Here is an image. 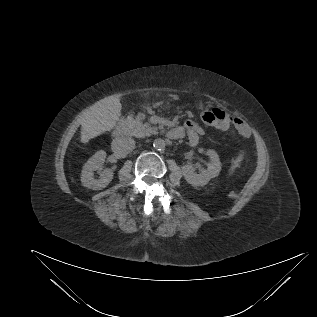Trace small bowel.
Instances as JSON below:
<instances>
[{"label":"small bowel","instance_id":"1","mask_svg":"<svg viewBox=\"0 0 317 317\" xmlns=\"http://www.w3.org/2000/svg\"><path fill=\"white\" fill-rule=\"evenodd\" d=\"M223 113L224 119L223 123L219 125L220 129H226L233 125L242 136L247 137L250 135V128L242 118L238 116L230 117L224 111ZM171 131H173L171 139H178L186 135L191 145H196L199 137L204 133L203 129L192 120H187L183 127L175 128Z\"/></svg>","mask_w":317,"mask_h":317}]
</instances>
